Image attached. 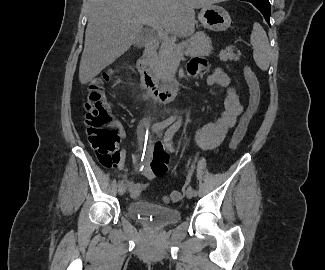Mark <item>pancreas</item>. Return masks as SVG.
<instances>
[{
    "mask_svg": "<svg viewBox=\"0 0 325 270\" xmlns=\"http://www.w3.org/2000/svg\"><path fill=\"white\" fill-rule=\"evenodd\" d=\"M211 40L204 34H199L179 44L163 42L155 65L158 79L163 83L172 81L176 64L183 54L187 56H208L212 53ZM241 53H234L232 46L222 50L219 54L221 61L239 60Z\"/></svg>",
    "mask_w": 325,
    "mask_h": 270,
    "instance_id": "obj_1",
    "label": "pancreas"
}]
</instances>
